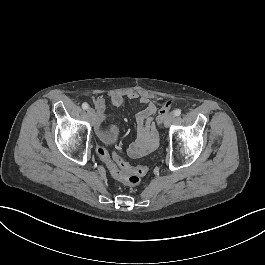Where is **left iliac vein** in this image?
I'll return each instance as SVG.
<instances>
[{"mask_svg":"<svg viewBox=\"0 0 265 265\" xmlns=\"http://www.w3.org/2000/svg\"><path fill=\"white\" fill-rule=\"evenodd\" d=\"M174 119L175 114L173 112H169L168 114H166L164 119V126L169 127L170 124L174 121Z\"/></svg>","mask_w":265,"mask_h":265,"instance_id":"obj_1","label":"left iliac vein"}]
</instances>
